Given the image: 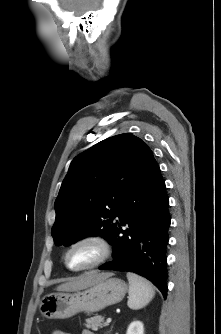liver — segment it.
I'll return each instance as SVG.
<instances>
[{
	"label": "liver",
	"mask_w": 221,
	"mask_h": 334,
	"mask_svg": "<svg viewBox=\"0 0 221 334\" xmlns=\"http://www.w3.org/2000/svg\"><path fill=\"white\" fill-rule=\"evenodd\" d=\"M109 275L111 274L98 273L96 271L87 272L79 276L78 278L74 279L73 281L59 285L56 289L58 291H67V292L83 290L96 284L97 282H99L100 280L104 279Z\"/></svg>",
	"instance_id": "liver-1"
}]
</instances>
